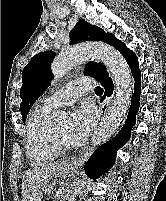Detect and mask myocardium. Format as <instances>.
Here are the masks:
<instances>
[{
    "instance_id": "1",
    "label": "myocardium",
    "mask_w": 166,
    "mask_h": 201,
    "mask_svg": "<svg viewBox=\"0 0 166 201\" xmlns=\"http://www.w3.org/2000/svg\"><path fill=\"white\" fill-rule=\"evenodd\" d=\"M52 138L60 151H69L73 148V146L59 134L54 125H52Z\"/></svg>"
}]
</instances>
